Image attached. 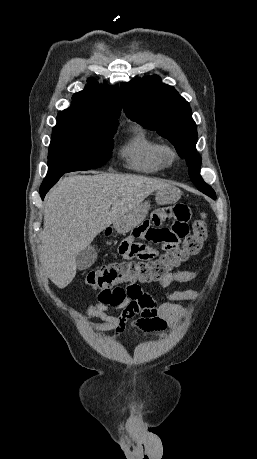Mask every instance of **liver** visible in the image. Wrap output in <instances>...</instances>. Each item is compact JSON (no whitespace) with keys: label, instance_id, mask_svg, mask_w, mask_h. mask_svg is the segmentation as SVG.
Listing matches in <instances>:
<instances>
[{"label":"liver","instance_id":"obj_1","mask_svg":"<svg viewBox=\"0 0 257 459\" xmlns=\"http://www.w3.org/2000/svg\"><path fill=\"white\" fill-rule=\"evenodd\" d=\"M163 180L134 174L76 175L64 178L45 203L40 261L60 289L76 275V255L94 238L137 207Z\"/></svg>","mask_w":257,"mask_h":459}]
</instances>
